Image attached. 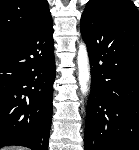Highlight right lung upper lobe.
I'll return each instance as SVG.
<instances>
[{"label": "right lung upper lobe", "instance_id": "right-lung-upper-lobe-1", "mask_svg": "<svg viewBox=\"0 0 139 150\" xmlns=\"http://www.w3.org/2000/svg\"><path fill=\"white\" fill-rule=\"evenodd\" d=\"M49 16L47 0H0V43L33 31Z\"/></svg>", "mask_w": 139, "mask_h": 150}]
</instances>
